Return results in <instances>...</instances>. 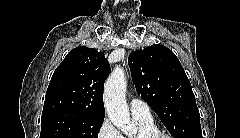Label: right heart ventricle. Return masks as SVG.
Here are the masks:
<instances>
[{
    "label": "right heart ventricle",
    "instance_id": "e07e8e85",
    "mask_svg": "<svg viewBox=\"0 0 240 138\" xmlns=\"http://www.w3.org/2000/svg\"><path fill=\"white\" fill-rule=\"evenodd\" d=\"M133 118L138 126V133L136 136L128 138H139L140 134L142 133L152 130H158L152 117L150 118L133 117Z\"/></svg>",
    "mask_w": 240,
    "mask_h": 138
}]
</instances>
